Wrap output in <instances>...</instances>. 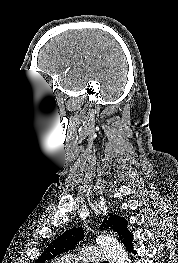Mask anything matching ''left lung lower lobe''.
Listing matches in <instances>:
<instances>
[{
    "mask_svg": "<svg viewBox=\"0 0 178 263\" xmlns=\"http://www.w3.org/2000/svg\"><path fill=\"white\" fill-rule=\"evenodd\" d=\"M127 225L128 222L124 224L122 230L119 233V237L122 243L124 244V246L126 247V250L128 252H132L133 254H136V250H133V244H132L133 235L129 232Z\"/></svg>",
    "mask_w": 178,
    "mask_h": 263,
    "instance_id": "1",
    "label": "left lung lower lobe"
}]
</instances>
